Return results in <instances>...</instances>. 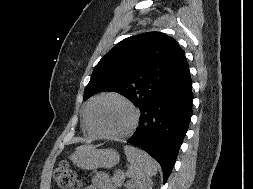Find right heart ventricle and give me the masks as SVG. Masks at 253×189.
Returning a JSON list of instances; mask_svg holds the SVG:
<instances>
[{"mask_svg":"<svg viewBox=\"0 0 253 189\" xmlns=\"http://www.w3.org/2000/svg\"><path fill=\"white\" fill-rule=\"evenodd\" d=\"M90 106V103H88L84 109L83 112V127L85 129V131L87 132V134L93 136L95 135V133L91 130L89 124H88V120H87V112H88V108Z\"/></svg>","mask_w":253,"mask_h":189,"instance_id":"obj_1","label":"right heart ventricle"}]
</instances>
